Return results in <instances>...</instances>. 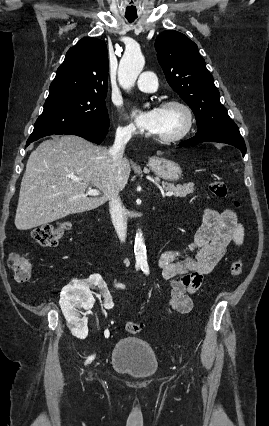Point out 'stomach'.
<instances>
[{
  "instance_id": "obj_1",
  "label": "stomach",
  "mask_w": 269,
  "mask_h": 426,
  "mask_svg": "<svg viewBox=\"0 0 269 426\" xmlns=\"http://www.w3.org/2000/svg\"><path fill=\"white\" fill-rule=\"evenodd\" d=\"M148 165L158 177L167 181H176L182 175L180 165L172 160L153 158L150 159Z\"/></svg>"
}]
</instances>
